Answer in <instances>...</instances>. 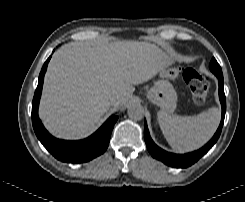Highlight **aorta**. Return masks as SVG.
I'll use <instances>...</instances> for the list:
<instances>
[{
	"label": "aorta",
	"instance_id": "aorta-1",
	"mask_svg": "<svg viewBox=\"0 0 245 202\" xmlns=\"http://www.w3.org/2000/svg\"><path fill=\"white\" fill-rule=\"evenodd\" d=\"M128 116L130 119L139 121L144 117V109L140 105H132L128 108Z\"/></svg>",
	"mask_w": 245,
	"mask_h": 202
}]
</instances>
